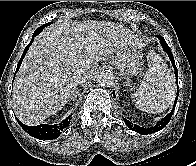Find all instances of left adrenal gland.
Returning a JSON list of instances; mask_svg holds the SVG:
<instances>
[{"mask_svg": "<svg viewBox=\"0 0 196 166\" xmlns=\"http://www.w3.org/2000/svg\"><path fill=\"white\" fill-rule=\"evenodd\" d=\"M125 85H127V86H131L128 80H127V81H125Z\"/></svg>", "mask_w": 196, "mask_h": 166, "instance_id": "1", "label": "left adrenal gland"}]
</instances>
